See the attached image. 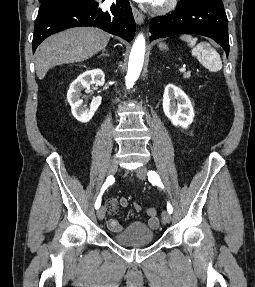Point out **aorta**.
<instances>
[{
    "label": "aorta",
    "instance_id": "762f6f07",
    "mask_svg": "<svg viewBox=\"0 0 255 287\" xmlns=\"http://www.w3.org/2000/svg\"><path fill=\"white\" fill-rule=\"evenodd\" d=\"M145 48V38L143 35H139L133 44L129 56L128 71L126 75L127 88H131L140 75L144 62Z\"/></svg>",
    "mask_w": 255,
    "mask_h": 287
}]
</instances>
